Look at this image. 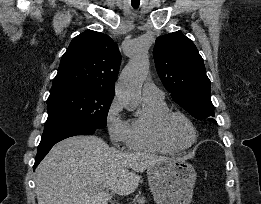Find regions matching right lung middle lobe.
<instances>
[{
	"label": "right lung middle lobe",
	"mask_w": 261,
	"mask_h": 204,
	"mask_svg": "<svg viewBox=\"0 0 261 204\" xmlns=\"http://www.w3.org/2000/svg\"><path fill=\"white\" fill-rule=\"evenodd\" d=\"M113 96L96 90H67L50 94L43 134L78 127L104 128Z\"/></svg>",
	"instance_id": "1"
}]
</instances>
